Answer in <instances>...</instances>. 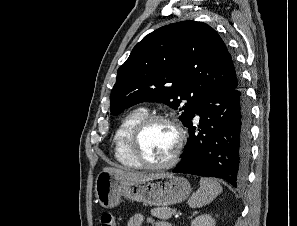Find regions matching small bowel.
I'll use <instances>...</instances> for the list:
<instances>
[{
    "mask_svg": "<svg viewBox=\"0 0 297 226\" xmlns=\"http://www.w3.org/2000/svg\"><path fill=\"white\" fill-rule=\"evenodd\" d=\"M145 217L141 213L134 214L130 217L127 222V226H142ZM154 226H169V224L165 221H156L154 222Z\"/></svg>",
    "mask_w": 297,
    "mask_h": 226,
    "instance_id": "obj_1",
    "label": "small bowel"
}]
</instances>
